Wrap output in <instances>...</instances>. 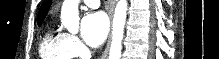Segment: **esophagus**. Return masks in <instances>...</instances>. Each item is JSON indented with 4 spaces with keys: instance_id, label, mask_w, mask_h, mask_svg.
<instances>
[{
    "instance_id": "34e87169",
    "label": "esophagus",
    "mask_w": 219,
    "mask_h": 59,
    "mask_svg": "<svg viewBox=\"0 0 219 59\" xmlns=\"http://www.w3.org/2000/svg\"><path fill=\"white\" fill-rule=\"evenodd\" d=\"M115 1H116V0H109L108 14H109L110 20H112L113 6H114V4H115ZM109 48H110V39L108 40L107 46H106V48H105L104 53H103L102 56H101V59H106V58H107V55H108V52H109Z\"/></svg>"
}]
</instances>
